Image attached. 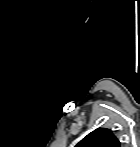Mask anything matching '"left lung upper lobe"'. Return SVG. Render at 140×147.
Wrapping results in <instances>:
<instances>
[{
    "mask_svg": "<svg viewBox=\"0 0 140 147\" xmlns=\"http://www.w3.org/2000/svg\"><path fill=\"white\" fill-rule=\"evenodd\" d=\"M76 147H120V142L111 130L98 128L83 138Z\"/></svg>",
    "mask_w": 140,
    "mask_h": 147,
    "instance_id": "left-lung-upper-lobe-1",
    "label": "left lung upper lobe"
}]
</instances>
